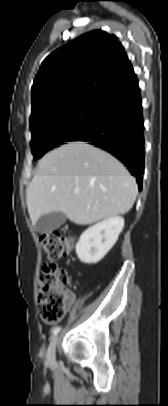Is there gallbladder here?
Instances as JSON below:
<instances>
[{"mask_svg": "<svg viewBox=\"0 0 168 406\" xmlns=\"http://www.w3.org/2000/svg\"><path fill=\"white\" fill-rule=\"evenodd\" d=\"M67 220V217L62 212H52L42 215L35 224V229L39 233H51L59 228Z\"/></svg>", "mask_w": 168, "mask_h": 406, "instance_id": "1", "label": "gallbladder"}]
</instances>
